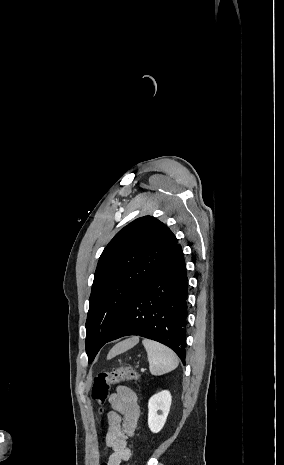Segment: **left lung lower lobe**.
<instances>
[{"instance_id":"left-lung-lower-lobe-1","label":"left lung lower lobe","mask_w":284,"mask_h":465,"mask_svg":"<svg viewBox=\"0 0 284 465\" xmlns=\"http://www.w3.org/2000/svg\"><path fill=\"white\" fill-rule=\"evenodd\" d=\"M187 280L184 255L177 244L131 299L106 343L123 336H142L170 347L184 363Z\"/></svg>"}]
</instances>
